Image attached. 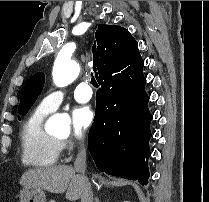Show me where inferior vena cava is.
I'll return each instance as SVG.
<instances>
[{
    "label": "inferior vena cava",
    "instance_id": "inferior-vena-cava-1",
    "mask_svg": "<svg viewBox=\"0 0 209 202\" xmlns=\"http://www.w3.org/2000/svg\"><path fill=\"white\" fill-rule=\"evenodd\" d=\"M74 170L79 172L85 179V183L81 192V202H93V193L91 185L85 176L86 170V151L83 145L80 146L78 154L74 162Z\"/></svg>",
    "mask_w": 209,
    "mask_h": 202
}]
</instances>
